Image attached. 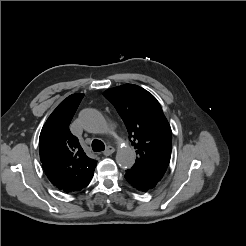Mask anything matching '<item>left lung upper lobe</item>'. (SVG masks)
Returning <instances> with one entry per match:
<instances>
[{
	"instance_id": "left-lung-upper-lobe-1",
	"label": "left lung upper lobe",
	"mask_w": 246,
	"mask_h": 246,
	"mask_svg": "<svg viewBox=\"0 0 246 246\" xmlns=\"http://www.w3.org/2000/svg\"><path fill=\"white\" fill-rule=\"evenodd\" d=\"M103 95L124 121L137 159L133 168L160 181L171 157V128L156 98L145 89L125 84Z\"/></svg>"
}]
</instances>
